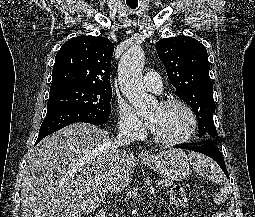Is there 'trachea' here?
I'll return each instance as SVG.
<instances>
[{
  "label": "trachea",
  "mask_w": 255,
  "mask_h": 217,
  "mask_svg": "<svg viewBox=\"0 0 255 217\" xmlns=\"http://www.w3.org/2000/svg\"><path fill=\"white\" fill-rule=\"evenodd\" d=\"M127 6L129 7V8H131V9H135L137 6H138V4H127Z\"/></svg>",
  "instance_id": "trachea-1"
}]
</instances>
